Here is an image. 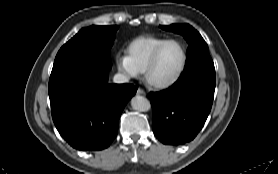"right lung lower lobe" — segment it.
Returning a JSON list of instances; mask_svg holds the SVG:
<instances>
[{"instance_id": "obj_1", "label": "right lung lower lobe", "mask_w": 278, "mask_h": 174, "mask_svg": "<svg viewBox=\"0 0 278 174\" xmlns=\"http://www.w3.org/2000/svg\"><path fill=\"white\" fill-rule=\"evenodd\" d=\"M108 69L74 63L51 72L49 98L60 135L79 150L107 148L118 120L137 87L108 84Z\"/></svg>"}]
</instances>
